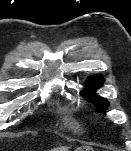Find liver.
<instances>
[{"instance_id":"6515ba94","label":"liver","mask_w":131,"mask_h":151,"mask_svg":"<svg viewBox=\"0 0 131 151\" xmlns=\"http://www.w3.org/2000/svg\"><path fill=\"white\" fill-rule=\"evenodd\" d=\"M55 151H67L68 150V148H56V149H54Z\"/></svg>"}]
</instances>
